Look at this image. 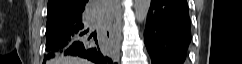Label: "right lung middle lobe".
Wrapping results in <instances>:
<instances>
[{
	"label": "right lung middle lobe",
	"instance_id": "obj_1",
	"mask_svg": "<svg viewBox=\"0 0 242 64\" xmlns=\"http://www.w3.org/2000/svg\"><path fill=\"white\" fill-rule=\"evenodd\" d=\"M83 16V9L76 11L53 12L47 14L46 34L60 25L80 20Z\"/></svg>",
	"mask_w": 242,
	"mask_h": 64
}]
</instances>
